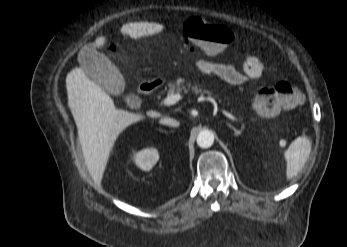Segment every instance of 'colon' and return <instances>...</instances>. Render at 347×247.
Here are the masks:
<instances>
[{"label": "colon", "mask_w": 347, "mask_h": 247, "mask_svg": "<svg viewBox=\"0 0 347 247\" xmlns=\"http://www.w3.org/2000/svg\"><path fill=\"white\" fill-rule=\"evenodd\" d=\"M185 36L205 53L218 56L233 42L234 33L224 25L201 18H190L184 27ZM302 101V92L289 82H280L274 87H264L255 98V109L260 116L274 117L297 108Z\"/></svg>", "instance_id": "5ec220e1"}]
</instances>
